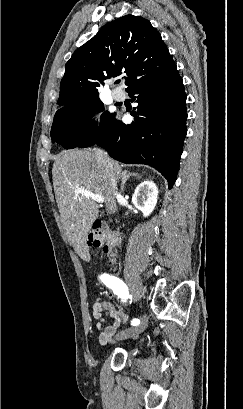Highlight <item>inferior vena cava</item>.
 Segmentation results:
<instances>
[{"label":"inferior vena cava","mask_w":243,"mask_h":409,"mask_svg":"<svg viewBox=\"0 0 243 409\" xmlns=\"http://www.w3.org/2000/svg\"><path fill=\"white\" fill-rule=\"evenodd\" d=\"M94 154H95V156H96L99 163H101V164H103V165H105V166H107L109 168H112V164H111V161H110L107 153H105L102 149L95 148L94 149ZM110 176H111V183H112V188H113V191H114V196H118L119 193H118V188H117V181H116L114 175L111 174Z\"/></svg>","instance_id":"1"}]
</instances>
